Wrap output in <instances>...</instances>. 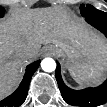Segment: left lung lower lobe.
<instances>
[{
	"mask_svg": "<svg viewBox=\"0 0 107 107\" xmlns=\"http://www.w3.org/2000/svg\"><path fill=\"white\" fill-rule=\"evenodd\" d=\"M86 21L107 36V13L102 12L86 17ZM55 76L63 99L70 105L98 106L107 101V81L97 88L72 90L62 81L59 63H57Z\"/></svg>",
	"mask_w": 107,
	"mask_h": 107,
	"instance_id": "obj_1",
	"label": "left lung lower lobe"
}]
</instances>
